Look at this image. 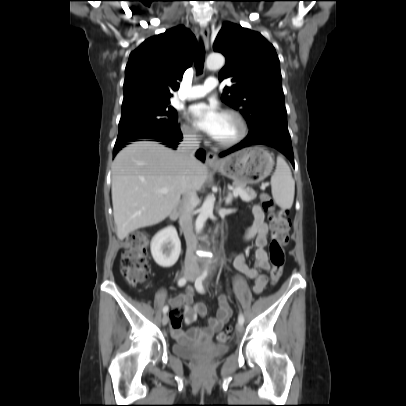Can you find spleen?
<instances>
[{
    "instance_id": "3e777b00",
    "label": "spleen",
    "mask_w": 406,
    "mask_h": 406,
    "mask_svg": "<svg viewBox=\"0 0 406 406\" xmlns=\"http://www.w3.org/2000/svg\"><path fill=\"white\" fill-rule=\"evenodd\" d=\"M271 191L276 204L282 209H290L294 201L295 182L285 160L277 157L275 172L271 177Z\"/></svg>"
}]
</instances>
